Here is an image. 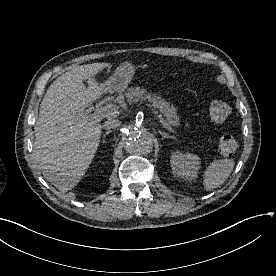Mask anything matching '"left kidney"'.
<instances>
[{"label": "left kidney", "mask_w": 276, "mask_h": 276, "mask_svg": "<svg viewBox=\"0 0 276 276\" xmlns=\"http://www.w3.org/2000/svg\"><path fill=\"white\" fill-rule=\"evenodd\" d=\"M171 167L174 175L185 180H194L197 178L200 158L193 153L174 152L171 155Z\"/></svg>", "instance_id": "obj_1"}]
</instances>
